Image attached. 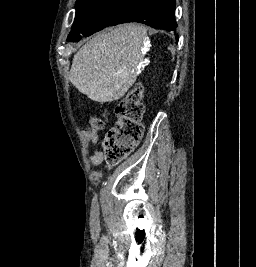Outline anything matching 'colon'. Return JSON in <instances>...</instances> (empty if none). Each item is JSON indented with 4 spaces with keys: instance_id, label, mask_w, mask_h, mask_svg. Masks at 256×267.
I'll list each match as a JSON object with an SVG mask.
<instances>
[{
    "instance_id": "obj_1",
    "label": "colon",
    "mask_w": 256,
    "mask_h": 267,
    "mask_svg": "<svg viewBox=\"0 0 256 267\" xmlns=\"http://www.w3.org/2000/svg\"><path fill=\"white\" fill-rule=\"evenodd\" d=\"M144 113L142 88L135 87L116 105L118 120L116 126L106 135L103 145L107 161L117 163L123 160L142 137L141 117ZM107 113L91 118V133L104 130Z\"/></svg>"
}]
</instances>
